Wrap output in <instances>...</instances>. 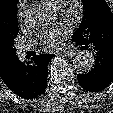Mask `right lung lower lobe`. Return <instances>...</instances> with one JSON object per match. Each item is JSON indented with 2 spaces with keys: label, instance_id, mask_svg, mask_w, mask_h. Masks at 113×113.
I'll return each mask as SVG.
<instances>
[{
  "label": "right lung lower lobe",
  "instance_id": "98d812e1",
  "mask_svg": "<svg viewBox=\"0 0 113 113\" xmlns=\"http://www.w3.org/2000/svg\"><path fill=\"white\" fill-rule=\"evenodd\" d=\"M53 56V54L35 55L27 62H21L16 58L12 71L4 83L21 98L39 97L47 87V66Z\"/></svg>",
  "mask_w": 113,
  "mask_h": 113
}]
</instances>
